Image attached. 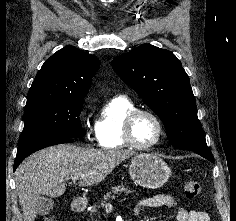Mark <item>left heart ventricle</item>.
<instances>
[{
	"mask_svg": "<svg viewBox=\"0 0 236 221\" xmlns=\"http://www.w3.org/2000/svg\"><path fill=\"white\" fill-rule=\"evenodd\" d=\"M135 141L141 145L152 143L158 136L156 122L148 115H140L133 126Z\"/></svg>",
	"mask_w": 236,
	"mask_h": 221,
	"instance_id": "left-heart-ventricle-1",
	"label": "left heart ventricle"
}]
</instances>
